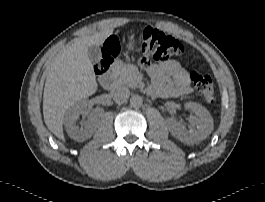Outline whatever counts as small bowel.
I'll list each match as a JSON object with an SVG mask.
<instances>
[{"label": "small bowel", "mask_w": 265, "mask_h": 202, "mask_svg": "<svg viewBox=\"0 0 265 202\" xmlns=\"http://www.w3.org/2000/svg\"><path fill=\"white\" fill-rule=\"evenodd\" d=\"M141 67L152 80L148 88L151 95L177 97L191 91L187 70L175 60H167L159 64L141 63Z\"/></svg>", "instance_id": "obj_1"}]
</instances>
